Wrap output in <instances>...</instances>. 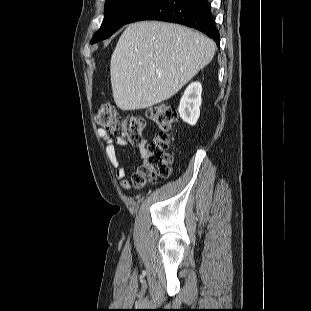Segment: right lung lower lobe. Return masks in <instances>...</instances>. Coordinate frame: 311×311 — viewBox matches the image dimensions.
Here are the masks:
<instances>
[{"mask_svg": "<svg viewBox=\"0 0 311 311\" xmlns=\"http://www.w3.org/2000/svg\"><path fill=\"white\" fill-rule=\"evenodd\" d=\"M141 20L183 24L205 33L219 46V32L206 0H154L136 12L127 23Z\"/></svg>", "mask_w": 311, "mask_h": 311, "instance_id": "right-lung-lower-lobe-1", "label": "right lung lower lobe"}]
</instances>
